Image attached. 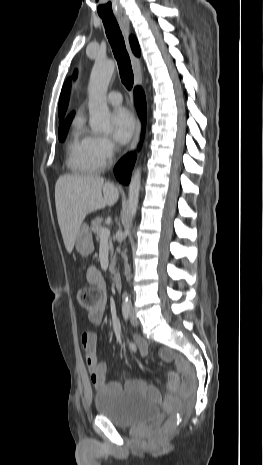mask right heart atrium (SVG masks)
<instances>
[{
    "label": "right heart atrium",
    "mask_w": 263,
    "mask_h": 465,
    "mask_svg": "<svg viewBox=\"0 0 263 465\" xmlns=\"http://www.w3.org/2000/svg\"><path fill=\"white\" fill-rule=\"evenodd\" d=\"M94 149L97 159L103 166L112 160L116 152V146L113 141L105 136L95 137Z\"/></svg>",
    "instance_id": "right-heart-atrium-1"
}]
</instances>
